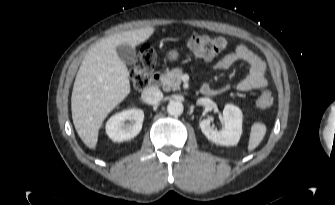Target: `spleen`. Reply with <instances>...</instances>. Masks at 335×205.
<instances>
[{"label":"spleen","instance_id":"obj_1","mask_svg":"<svg viewBox=\"0 0 335 205\" xmlns=\"http://www.w3.org/2000/svg\"><path fill=\"white\" fill-rule=\"evenodd\" d=\"M266 134V126L264 123L255 122L251 127L250 138L248 143V151L254 150L263 140Z\"/></svg>","mask_w":335,"mask_h":205}]
</instances>
